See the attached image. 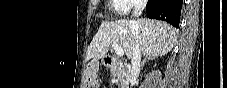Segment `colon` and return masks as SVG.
Instances as JSON below:
<instances>
[{
	"mask_svg": "<svg viewBox=\"0 0 227 88\" xmlns=\"http://www.w3.org/2000/svg\"><path fill=\"white\" fill-rule=\"evenodd\" d=\"M99 71H100V68L97 67V68L95 69V74L97 75V74L99 73Z\"/></svg>",
	"mask_w": 227,
	"mask_h": 88,
	"instance_id": "1",
	"label": "colon"
}]
</instances>
